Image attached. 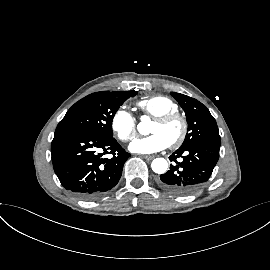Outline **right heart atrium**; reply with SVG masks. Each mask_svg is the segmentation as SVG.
<instances>
[{"label":"right heart atrium","mask_w":270,"mask_h":270,"mask_svg":"<svg viewBox=\"0 0 270 270\" xmlns=\"http://www.w3.org/2000/svg\"><path fill=\"white\" fill-rule=\"evenodd\" d=\"M111 129L119 140L127 142L137 131V121L124 107L118 108L111 117Z\"/></svg>","instance_id":"1"}]
</instances>
